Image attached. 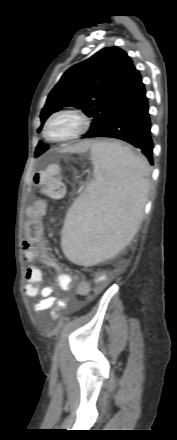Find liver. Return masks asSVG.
Instances as JSON below:
<instances>
[{
  "label": "liver",
  "mask_w": 177,
  "mask_h": 440,
  "mask_svg": "<svg viewBox=\"0 0 177 440\" xmlns=\"http://www.w3.org/2000/svg\"><path fill=\"white\" fill-rule=\"evenodd\" d=\"M91 146H93V143L91 141H82L80 143H77L75 145H72L64 149V151L71 153H79L88 150Z\"/></svg>",
  "instance_id": "obj_1"
}]
</instances>
